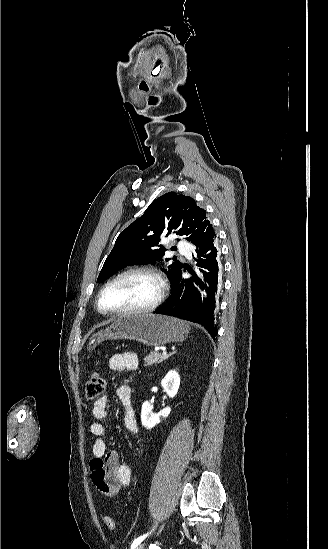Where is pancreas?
Instances as JSON below:
<instances>
[{
  "label": "pancreas",
  "instance_id": "1",
  "mask_svg": "<svg viewBox=\"0 0 328 549\" xmlns=\"http://www.w3.org/2000/svg\"><path fill=\"white\" fill-rule=\"evenodd\" d=\"M165 359H168L167 355H161V353H157V351H153V353H150V355H147L145 357L144 361L146 365L144 367H148V365H154V363H162V361H165Z\"/></svg>",
  "mask_w": 328,
  "mask_h": 549
}]
</instances>
